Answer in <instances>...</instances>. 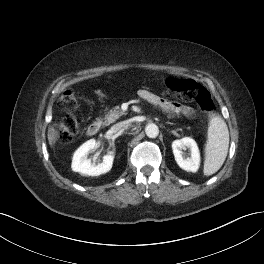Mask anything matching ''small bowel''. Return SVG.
Masks as SVG:
<instances>
[{
  "mask_svg": "<svg viewBox=\"0 0 264 264\" xmlns=\"http://www.w3.org/2000/svg\"><path fill=\"white\" fill-rule=\"evenodd\" d=\"M139 96L168 112L183 114L185 116H192L194 114V110L190 106L161 98L145 89L139 91Z\"/></svg>",
  "mask_w": 264,
  "mask_h": 264,
  "instance_id": "obj_1",
  "label": "small bowel"
}]
</instances>
